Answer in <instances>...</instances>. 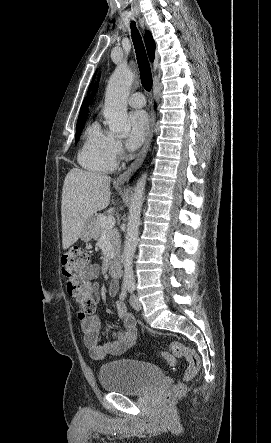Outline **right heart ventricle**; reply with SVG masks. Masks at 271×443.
I'll return each mask as SVG.
<instances>
[{"instance_id":"obj_1","label":"right heart ventricle","mask_w":271,"mask_h":443,"mask_svg":"<svg viewBox=\"0 0 271 443\" xmlns=\"http://www.w3.org/2000/svg\"><path fill=\"white\" fill-rule=\"evenodd\" d=\"M114 137L104 131L97 120L85 130L82 146L78 153V162L87 170L109 173L116 168V157L112 152Z\"/></svg>"}]
</instances>
